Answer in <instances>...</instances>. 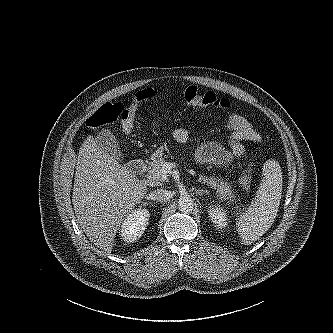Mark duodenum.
<instances>
[{
	"label": "duodenum",
	"instance_id": "obj_1",
	"mask_svg": "<svg viewBox=\"0 0 333 333\" xmlns=\"http://www.w3.org/2000/svg\"><path fill=\"white\" fill-rule=\"evenodd\" d=\"M128 170L132 173H143L146 170V163L142 159H135L128 164Z\"/></svg>",
	"mask_w": 333,
	"mask_h": 333
}]
</instances>
